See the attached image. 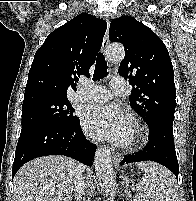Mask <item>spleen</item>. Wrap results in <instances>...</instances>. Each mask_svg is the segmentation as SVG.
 Segmentation results:
<instances>
[{"label": "spleen", "mask_w": 196, "mask_h": 201, "mask_svg": "<svg viewBox=\"0 0 196 201\" xmlns=\"http://www.w3.org/2000/svg\"><path fill=\"white\" fill-rule=\"evenodd\" d=\"M144 177L137 184L135 201H175V177L165 167L151 161L139 162Z\"/></svg>", "instance_id": "obj_1"}]
</instances>
